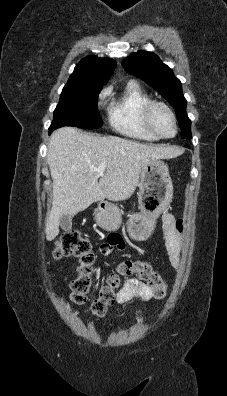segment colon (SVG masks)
I'll return each mask as SVG.
<instances>
[{
  "label": "colon",
  "mask_w": 227,
  "mask_h": 396,
  "mask_svg": "<svg viewBox=\"0 0 227 396\" xmlns=\"http://www.w3.org/2000/svg\"><path fill=\"white\" fill-rule=\"evenodd\" d=\"M54 256L76 257L79 262V276L71 283V299L75 304L83 305L91 285V274L95 263V254L89 239L76 231L65 233L57 242ZM135 278L144 281L154 290V296L162 299L166 295L167 285L162 277L153 269L152 265L141 260H126L120 264L118 270L110 274L92 301L89 311L95 316H103L116 301V294L121 288V278Z\"/></svg>",
  "instance_id": "obj_1"
}]
</instances>
